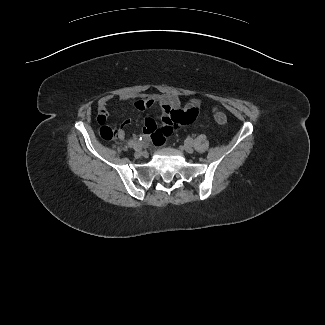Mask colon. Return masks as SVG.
<instances>
[{
	"instance_id": "1",
	"label": "colon",
	"mask_w": 325,
	"mask_h": 325,
	"mask_svg": "<svg viewBox=\"0 0 325 325\" xmlns=\"http://www.w3.org/2000/svg\"><path fill=\"white\" fill-rule=\"evenodd\" d=\"M214 118L219 124H226L227 118L225 114L219 111H214ZM100 136L105 140H111L117 138L119 135V131L117 128H109V127H102L99 132Z\"/></svg>"
}]
</instances>
